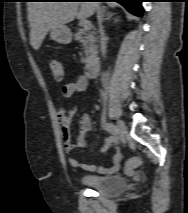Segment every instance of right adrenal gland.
<instances>
[{
    "instance_id": "1",
    "label": "right adrenal gland",
    "mask_w": 188,
    "mask_h": 213,
    "mask_svg": "<svg viewBox=\"0 0 188 213\" xmlns=\"http://www.w3.org/2000/svg\"><path fill=\"white\" fill-rule=\"evenodd\" d=\"M105 15H106V11H105V10H101L99 16H100V19H101L102 22H103L105 19H109V18L112 17L114 14L108 12V13H107V16H108V17H107V18H104Z\"/></svg>"
}]
</instances>
